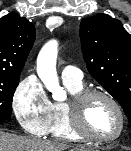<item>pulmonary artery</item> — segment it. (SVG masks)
Segmentation results:
<instances>
[{
	"instance_id": "1",
	"label": "pulmonary artery",
	"mask_w": 131,
	"mask_h": 151,
	"mask_svg": "<svg viewBox=\"0 0 131 151\" xmlns=\"http://www.w3.org/2000/svg\"><path fill=\"white\" fill-rule=\"evenodd\" d=\"M63 81L81 82L83 74L81 70L75 66L67 65L61 72Z\"/></svg>"
}]
</instances>
